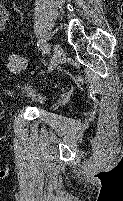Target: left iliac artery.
Here are the masks:
<instances>
[{"instance_id": "44dca946", "label": "left iliac artery", "mask_w": 123, "mask_h": 201, "mask_svg": "<svg viewBox=\"0 0 123 201\" xmlns=\"http://www.w3.org/2000/svg\"><path fill=\"white\" fill-rule=\"evenodd\" d=\"M37 46H38L44 53H50V52H49V45H48L43 39H40V40L37 42Z\"/></svg>"}]
</instances>
